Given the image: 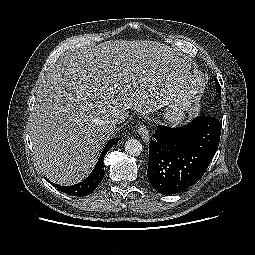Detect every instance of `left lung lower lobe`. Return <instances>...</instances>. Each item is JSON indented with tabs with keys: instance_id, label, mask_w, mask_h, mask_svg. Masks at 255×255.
Segmentation results:
<instances>
[{
	"instance_id": "obj_1",
	"label": "left lung lower lobe",
	"mask_w": 255,
	"mask_h": 255,
	"mask_svg": "<svg viewBox=\"0 0 255 255\" xmlns=\"http://www.w3.org/2000/svg\"><path fill=\"white\" fill-rule=\"evenodd\" d=\"M221 126L211 116H198L177 128L158 126L149 143L147 170L154 189L175 194L197 183L217 151Z\"/></svg>"
}]
</instances>
